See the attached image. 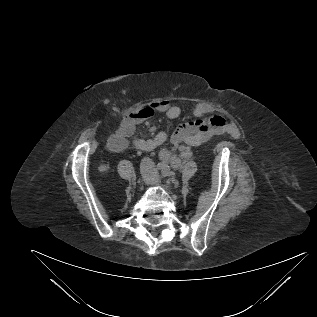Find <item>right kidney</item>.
<instances>
[{
	"mask_svg": "<svg viewBox=\"0 0 317 317\" xmlns=\"http://www.w3.org/2000/svg\"><path fill=\"white\" fill-rule=\"evenodd\" d=\"M108 168H109V166H108L107 164H103V163H101V164L98 166V170H99L100 172L107 171Z\"/></svg>",
	"mask_w": 317,
	"mask_h": 317,
	"instance_id": "right-kidney-1",
	"label": "right kidney"
}]
</instances>
